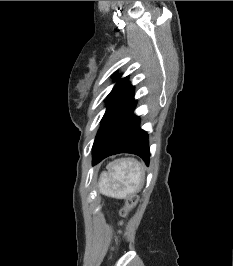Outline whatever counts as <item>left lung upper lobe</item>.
Masks as SVG:
<instances>
[{
	"instance_id": "obj_1",
	"label": "left lung upper lobe",
	"mask_w": 233,
	"mask_h": 266,
	"mask_svg": "<svg viewBox=\"0 0 233 266\" xmlns=\"http://www.w3.org/2000/svg\"><path fill=\"white\" fill-rule=\"evenodd\" d=\"M117 83L114 86L113 90L111 91V93L108 96V100H107V106L121 93L123 92L125 89H127L130 86V83H128V77L123 78V79H119V77L116 79Z\"/></svg>"
}]
</instances>
